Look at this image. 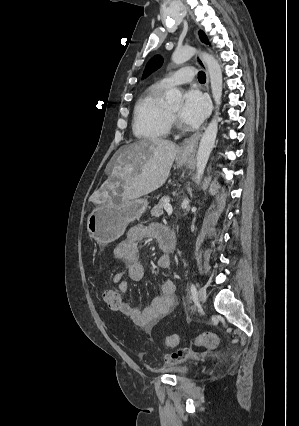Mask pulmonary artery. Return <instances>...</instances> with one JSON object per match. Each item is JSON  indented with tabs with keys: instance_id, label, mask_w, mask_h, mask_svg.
<instances>
[{
	"instance_id": "e3ab8cb5",
	"label": "pulmonary artery",
	"mask_w": 299,
	"mask_h": 426,
	"mask_svg": "<svg viewBox=\"0 0 299 426\" xmlns=\"http://www.w3.org/2000/svg\"><path fill=\"white\" fill-rule=\"evenodd\" d=\"M196 75V71L193 67H183L174 73L165 76L161 79V83L166 87H170L173 85H180L191 82Z\"/></svg>"
}]
</instances>
